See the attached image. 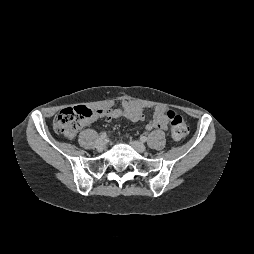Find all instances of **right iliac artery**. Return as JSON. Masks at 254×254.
Segmentation results:
<instances>
[{
	"label": "right iliac artery",
	"instance_id": "obj_1",
	"mask_svg": "<svg viewBox=\"0 0 254 254\" xmlns=\"http://www.w3.org/2000/svg\"><path fill=\"white\" fill-rule=\"evenodd\" d=\"M106 137H107V134H106V133H104V132L101 133V135H100V138H101V139H105Z\"/></svg>",
	"mask_w": 254,
	"mask_h": 254
}]
</instances>
